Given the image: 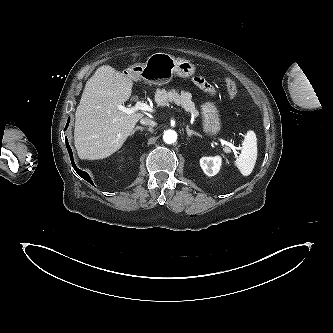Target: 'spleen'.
I'll return each instance as SVG.
<instances>
[{
	"instance_id": "obj_1",
	"label": "spleen",
	"mask_w": 333,
	"mask_h": 333,
	"mask_svg": "<svg viewBox=\"0 0 333 333\" xmlns=\"http://www.w3.org/2000/svg\"><path fill=\"white\" fill-rule=\"evenodd\" d=\"M257 159V138L254 131H248L242 142V149L235 166L243 176H249Z\"/></svg>"
}]
</instances>
